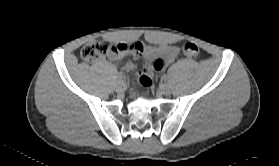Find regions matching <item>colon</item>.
<instances>
[{"mask_svg": "<svg viewBox=\"0 0 279 166\" xmlns=\"http://www.w3.org/2000/svg\"><path fill=\"white\" fill-rule=\"evenodd\" d=\"M181 52L184 56L190 59H196L200 55L199 47L191 42H185L180 46ZM142 46L139 43L134 44H112L105 41H95L85 45L80 56L86 62H94L108 54L123 55L126 53H140ZM139 82L142 87L150 88L153 84L150 73L143 72L139 77Z\"/></svg>", "mask_w": 279, "mask_h": 166, "instance_id": "colon-1", "label": "colon"}]
</instances>
